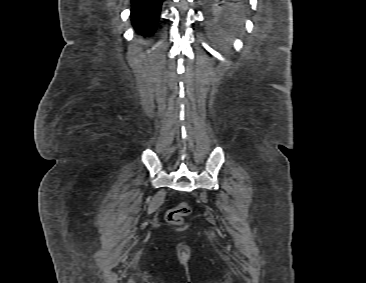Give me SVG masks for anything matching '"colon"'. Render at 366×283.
<instances>
[{
    "label": "colon",
    "mask_w": 366,
    "mask_h": 283,
    "mask_svg": "<svg viewBox=\"0 0 366 283\" xmlns=\"http://www.w3.org/2000/svg\"><path fill=\"white\" fill-rule=\"evenodd\" d=\"M191 207L187 202H181L167 213V221L173 225H180L184 218L191 214Z\"/></svg>",
    "instance_id": "colon-1"
}]
</instances>
